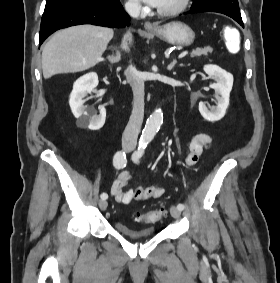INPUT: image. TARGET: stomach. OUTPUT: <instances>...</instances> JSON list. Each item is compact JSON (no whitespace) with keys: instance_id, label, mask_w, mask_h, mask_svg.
<instances>
[{"instance_id":"1","label":"stomach","mask_w":280,"mask_h":283,"mask_svg":"<svg viewBox=\"0 0 280 283\" xmlns=\"http://www.w3.org/2000/svg\"><path fill=\"white\" fill-rule=\"evenodd\" d=\"M151 33L170 44L182 46L191 45L195 39L194 31L185 23L178 21L157 26Z\"/></svg>"}]
</instances>
